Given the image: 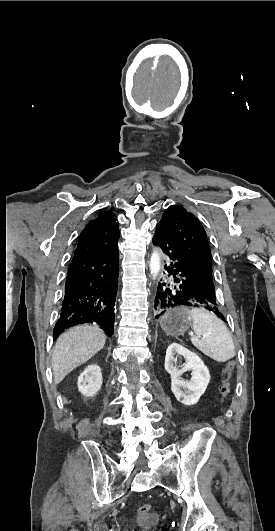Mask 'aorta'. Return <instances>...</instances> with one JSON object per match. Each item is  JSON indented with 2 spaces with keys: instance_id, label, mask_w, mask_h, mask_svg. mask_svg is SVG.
<instances>
[{
  "instance_id": "aorta-1",
  "label": "aorta",
  "mask_w": 275,
  "mask_h": 531,
  "mask_svg": "<svg viewBox=\"0 0 275 531\" xmlns=\"http://www.w3.org/2000/svg\"><path fill=\"white\" fill-rule=\"evenodd\" d=\"M149 269H150V275L153 277V279H156L158 273H160L161 269V257L159 255L158 249H154L150 263H149Z\"/></svg>"
}]
</instances>
